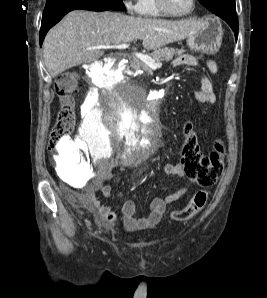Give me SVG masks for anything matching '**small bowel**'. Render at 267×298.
Returning a JSON list of instances; mask_svg holds the SVG:
<instances>
[{
	"instance_id": "c3829d8e",
	"label": "small bowel",
	"mask_w": 267,
	"mask_h": 298,
	"mask_svg": "<svg viewBox=\"0 0 267 298\" xmlns=\"http://www.w3.org/2000/svg\"><path fill=\"white\" fill-rule=\"evenodd\" d=\"M173 65L175 67L188 66L196 68L198 66V61L194 56L184 54L178 56L173 61ZM207 65L212 73H216L218 71V66L215 61L209 60ZM194 97L200 103L214 104L216 102L214 85L210 77H199L198 88L194 91ZM162 170L170 177L187 178L184 168L180 164H165ZM105 174L109 175L110 173L106 170ZM186 192L187 189L182 188L165 197H155L150 203L148 215L142 218L135 216V203L132 200H126L122 205L123 223L125 229L128 231H136L155 227L162 219L167 205L180 199L186 194ZM101 193L104 197H109L111 195V187L109 185L102 186ZM81 200L85 206L95 211L96 220L99 224L111 227L117 222V215L109 206L100 204L92 190L87 191L81 197Z\"/></svg>"
}]
</instances>
